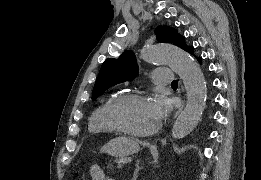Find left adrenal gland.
<instances>
[{
	"label": "left adrenal gland",
	"instance_id": "1",
	"mask_svg": "<svg viewBox=\"0 0 261 180\" xmlns=\"http://www.w3.org/2000/svg\"><path fill=\"white\" fill-rule=\"evenodd\" d=\"M139 162H140V160H137V162H136V164H135L136 170H135V172H134V174H133L132 180H137V178H138V172H139V170H141V168H140V166H139Z\"/></svg>",
	"mask_w": 261,
	"mask_h": 180
}]
</instances>
